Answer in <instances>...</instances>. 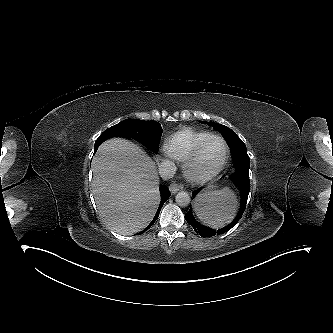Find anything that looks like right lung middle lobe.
I'll use <instances>...</instances> for the list:
<instances>
[{
  "instance_id": "dd1d6c3e",
  "label": "right lung middle lobe",
  "mask_w": 333,
  "mask_h": 333,
  "mask_svg": "<svg viewBox=\"0 0 333 333\" xmlns=\"http://www.w3.org/2000/svg\"><path fill=\"white\" fill-rule=\"evenodd\" d=\"M120 137L136 140L154 153L158 152L159 141L163 132L156 121L126 119L105 130Z\"/></svg>"
}]
</instances>
